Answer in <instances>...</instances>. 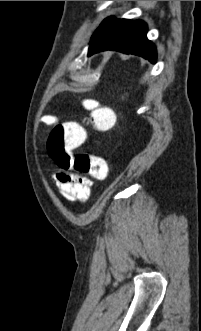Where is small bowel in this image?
<instances>
[{"instance_id": "obj_1", "label": "small bowel", "mask_w": 201, "mask_h": 331, "mask_svg": "<svg viewBox=\"0 0 201 331\" xmlns=\"http://www.w3.org/2000/svg\"><path fill=\"white\" fill-rule=\"evenodd\" d=\"M40 122L44 126H53L58 122V118L45 115ZM54 181L60 194L68 201H86L90 196L92 181L87 176L60 170L54 175Z\"/></svg>"}]
</instances>
